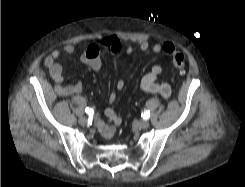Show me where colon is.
Listing matches in <instances>:
<instances>
[{
    "instance_id": "obj_1",
    "label": "colon",
    "mask_w": 245,
    "mask_h": 187,
    "mask_svg": "<svg viewBox=\"0 0 245 187\" xmlns=\"http://www.w3.org/2000/svg\"><path fill=\"white\" fill-rule=\"evenodd\" d=\"M164 51L171 57L173 66L180 74H183L186 67L185 55L177 50L171 43H166L164 45Z\"/></svg>"
}]
</instances>
